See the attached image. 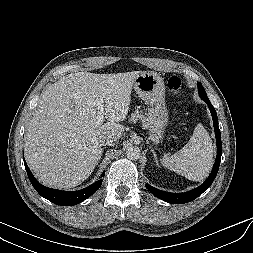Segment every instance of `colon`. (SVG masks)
Segmentation results:
<instances>
[{"label": "colon", "instance_id": "obj_1", "mask_svg": "<svg viewBox=\"0 0 253 253\" xmlns=\"http://www.w3.org/2000/svg\"><path fill=\"white\" fill-rule=\"evenodd\" d=\"M167 86L172 93L176 94L181 88V80L176 76H171L167 81Z\"/></svg>", "mask_w": 253, "mask_h": 253}]
</instances>
